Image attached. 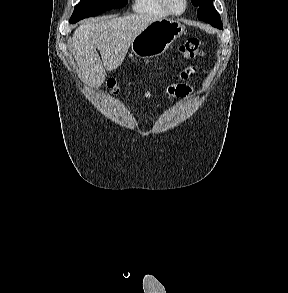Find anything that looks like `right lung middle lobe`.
<instances>
[{
    "label": "right lung middle lobe",
    "instance_id": "right-lung-middle-lobe-1",
    "mask_svg": "<svg viewBox=\"0 0 288 293\" xmlns=\"http://www.w3.org/2000/svg\"><path fill=\"white\" fill-rule=\"evenodd\" d=\"M128 0H81L75 6L70 18V23H76L81 19L97 16L107 10L121 8L127 4Z\"/></svg>",
    "mask_w": 288,
    "mask_h": 293
}]
</instances>
